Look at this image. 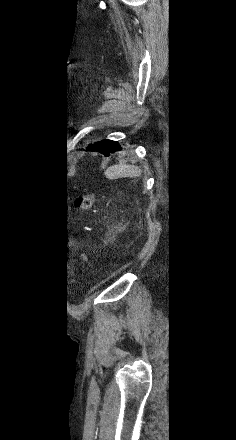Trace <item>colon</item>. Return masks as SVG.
I'll list each match as a JSON object with an SVG mask.
<instances>
[{"instance_id":"5ec220e1","label":"colon","mask_w":236,"mask_h":440,"mask_svg":"<svg viewBox=\"0 0 236 440\" xmlns=\"http://www.w3.org/2000/svg\"><path fill=\"white\" fill-rule=\"evenodd\" d=\"M93 202L94 197L92 194H82L75 199V206L78 210L82 212H87L92 208ZM55 279L57 281H60L62 279V276L60 274H57L55 276Z\"/></svg>"}]
</instances>
